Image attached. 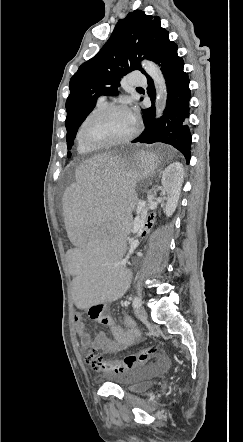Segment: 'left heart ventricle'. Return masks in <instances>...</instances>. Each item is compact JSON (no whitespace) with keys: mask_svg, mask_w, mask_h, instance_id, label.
<instances>
[{"mask_svg":"<svg viewBox=\"0 0 243 442\" xmlns=\"http://www.w3.org/2000/svg\"><path fill=\"white\" fill-rule=\"evenodd\" d=\"M133 128L131 114L120 110L93 120L86 128L85 137L91 143H106L126 137Z\"/></svg>","mask_w":243,"mask_h":442,"instance_id":"b2bd125f","label":"left heart ventricle"}]
</instances>
